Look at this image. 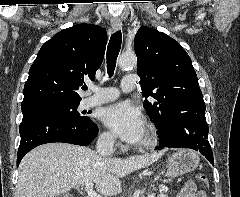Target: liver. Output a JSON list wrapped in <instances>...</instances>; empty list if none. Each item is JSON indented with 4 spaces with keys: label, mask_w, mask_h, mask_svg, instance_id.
<instances>
[{
    "label": "liver",
    "mask_w": 240,
    "mask_h": 197,
    "mask_svg": "<svg viewBox=\"0 0 240 197\" xmlns=\"http://www.w3.org/2000/svg\"><path fill=\"white\" fill-rule=\"evenodd\" d=\"M162 154L120 159L103 157L83 146L44 144L22 159L16 197H58L90 182L102 195L113 196L121 189L120 178L153 164Z\"/></svg>",
    "instance_id": "6515ba94"
}]
</instances>
